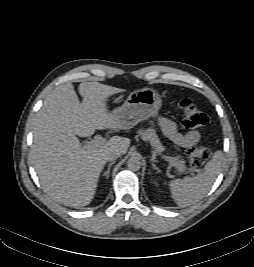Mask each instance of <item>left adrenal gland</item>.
Returning <instances> with one entry per match:
<instances>
[{"label":"left adrenal gland","mask_w":254,"mask_h":267,"mask_svg":"<svg viewBox=\"0 0 254 267\" xmlns=\"http://www.w3.org/2000/svg\"><path fill=\"white\" fill-rule=\"evenodd\" d=\"M151 162H152V167H153V169H155V170H157V171L159 172L160 170H159V168L155 165L154 161L151 160Z\"/></svg>","instance_id":"left-adrenal-gland-1"}]
</instances>
